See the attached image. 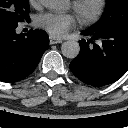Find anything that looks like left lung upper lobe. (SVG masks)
Wrapping results in <instances>:
<instances>
[{
  "label": "left lung upper lobe",
  "mask_w": 128,
  "mask_h": 128,
  "mask_svg": "<svg viewBox=\"0 0 128 128\" xmlns=\"http://www.w3.org/2000/svg\"><path fill=\"white\" fill-rule=\"evenodd\" d=\"M123 27H128V0H107L103 17L89 29L107 33Z\"/></svg>",
  "instance_id": "obj_1"
}]
</instances>
